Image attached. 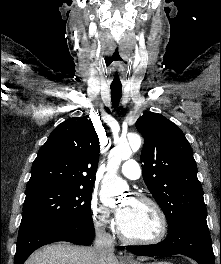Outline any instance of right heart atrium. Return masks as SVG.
Listing matches in <instances>:
<instances>
[{"instance_id":"d8ad5b80","label":"right heart atrium","mask_w":221,"mask_h":264,"mask_svg":"<svg viewBox=\"0 0 221 264\" xmlns=\"http://www.w3.org/2000/svg\"><path fill=\"white\" fill-rule=\"evenodd\" d=\"M90 216L95 228L101 232H109L114 229V220L109 210L93 196L89 204Z\"/></svg>"}]
</instances>
